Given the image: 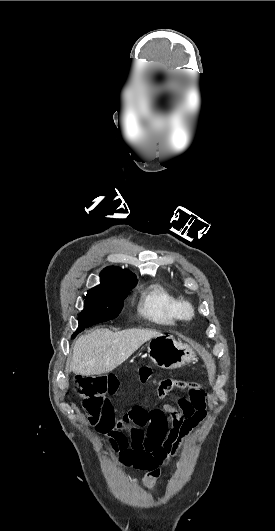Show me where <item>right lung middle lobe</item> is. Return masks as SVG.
I'll use <instances>...</instances> for the list:
<instances>
[{"mask_svg":"<svg viewBox=\"0 0 275 531\" xmlns=\"http://www.w3.org/2000/svg\"><path fill=\"white\" fill-rule=\"evenodd\" d=\"M134 282L126 285H98L90 289L85 297L84 309L79 314L78 329L72 338L89 326L116 318Z\"/></svg>","mask_w":275,"mask_h":531,"instance_id":"dd1d6c3e","label":"right lung middle lobe"}]
</instances>
